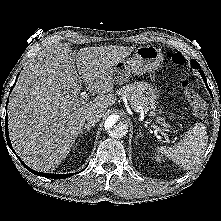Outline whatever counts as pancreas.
<instances>
[{
    "mask_svg": "<svg viewBox=\"0 0 221 221\" xmlns=\"http://www.w3.org/2000/svg\"><path fill=\"white\" fill-rule=\"evenodd\" d=\"M117 94L123 97H126L132 108L135 111H142L144 113L148 112L150 107H149V100L147 96L143 93L141 89V84H126L125 86H122L120 89L117 90ZM152 108L154 109L155 106L154 104H151ZM151 115H155V113H152ZM163 118L157 117L156 121L160 122L163 121Z\"/></svg>",
    "mask_w": 221,
    "mask_h": 221,
    "instance_id": "cf45deb5",
    "label": "pancreas"
}]
</instances>
